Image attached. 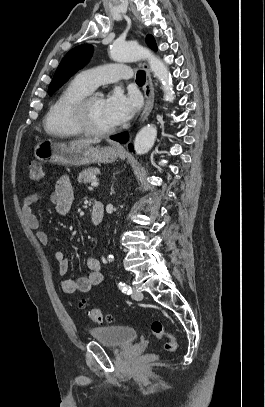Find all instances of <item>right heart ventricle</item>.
I'll return each mask as SVG.
<instances>
[{
  "instance_id": "e07e8e85",
  "label": "right heart ventricle",
  "mask_w": 265,
  "mask_h": 407,
  "mask_svg": "<svg viewBox=\"0 0 265 407\" xmlns=\"http://www.w3.org/2000/svg\"><path fill=\"white\" fill-rule=\"evenodd\" d=\"M91 92L76 78L70 81L51 103L44 119L47 134L56 138H77L83 134L70 119V108L77 100Z\"/></svg>"
}]
</instances>
